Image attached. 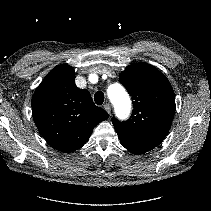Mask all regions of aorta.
I'll list each match as a JSON object with an SVG mask.
<instances>
[{
  "mask_svg": "<svg viewBox=\"0 0 211 211\" xmlns=\"http://www.w3.org/2000/svg\"><path fill=\"white\" fill-rule=\"evenodd\" d=\"M113 89L115 90L113 99L116 102H123V104L125 106V110L128 113L130 110V100H129V97L127 96L126 92L118 84L113 85Z\"/></svg>",
  "mask_w": 211,
  "mask_h": 211,
  "instance_id": "obj_1",
  "label": "aorta"
}]
</instances>
